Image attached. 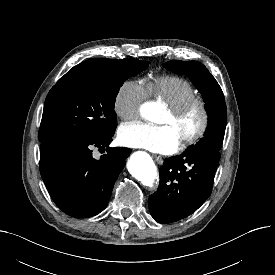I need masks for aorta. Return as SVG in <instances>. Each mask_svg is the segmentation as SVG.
<instances>
[{"label": "aorta", "mask_w": 275, "mask_h": 275, "mask_svg": "<svg viewBox=\"0 0 275 275\" xmlns=\"http://www.w3.org/2000/svg\"><path fill=\"white\" fill-rule=\"evenodd\" d=\"M141 113L146 119L156 122L160 119L161 110L156 103H146L141 108ZM130 173L144 185H151L157 178V168L151 157L143 153H134L129 162Z\"/></svg>", "instance_id": "obj_1"}]
</instances>
